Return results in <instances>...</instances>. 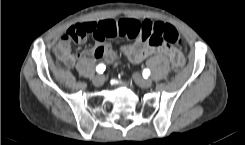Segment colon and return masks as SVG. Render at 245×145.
<instances>
[{"mask_svg": "<svg viewBox=\"0 0 245 145\" xmlns=\"http://www.w3.org/2000/svg\"><path fill=\"white\" fill-rule=\"evenodd\" d=\"M94 34L91 25L85 23H76L71 25L66 33L62 37V41H68L71 39L80 40L86 38L88 35ZM123 36L127 40H132L141 36L145 41L155 46H180L183 39L179 31L172 25L162 22H145L143 24L139 22H121L118 30L109 32L108 37L114 38L116 36ZM66 51L64 49L57 55L59 60H63L66 57ZM173 67L179 68L182 65V60L179 53L173 59Z\"/></svg>", "mask_w": 245, "mask_h": 145, "instance_id": "colon-1", "label": "colon"}]
</instances>
